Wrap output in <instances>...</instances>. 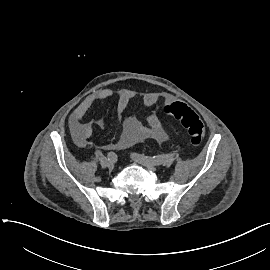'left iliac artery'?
I'll use <instances>...</instances> for the list:
<instances>
[{
    "instance_id": "left-iliac-artery-1",
    "label": "left iliac artery",
    "mask_w": 270,
    "mask_h": 270,
    "mask_svg": "<svg viewBox=\"0 0 270 270\" xmlns=\"http://www.w3.org/2000/svg\"><path fill=\"white\" fill-rule=\"evenodd\" d=\"M136 155L141 156V157H145V156L139 155V154H136ZM145 158H147L149 161H151L155 165H160L167 159V157L165 155H158V156L145 157Z\"/></svg>"
}]
</instances>
